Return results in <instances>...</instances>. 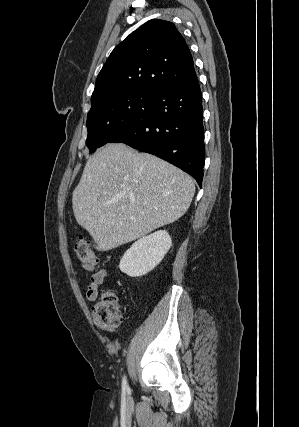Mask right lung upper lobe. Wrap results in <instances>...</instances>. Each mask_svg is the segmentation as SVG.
Wrapping results in <instances>:
<instances>
[{"label":"right lung upper lobe","mask_w":299,"mask_h":427,"mask_svg":"<svg viewBox=\"0 0 299 427\" xmlns=\"http://www.w3.org/2000/svg\"><path fill=\"white\" fill-rule=\"evenodd\" d=\"M196 78L183 36L171 22L153 19L125 38L100 71L91 104L113 94L155 95L159 90Z\"/></svg>","instance_id":"1"}]
</instances>
